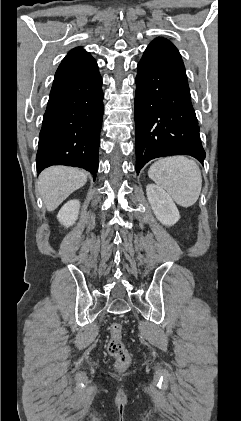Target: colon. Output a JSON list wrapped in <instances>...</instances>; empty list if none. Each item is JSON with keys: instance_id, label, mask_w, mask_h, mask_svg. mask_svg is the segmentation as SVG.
<instances>
[{"instance_id": "1", "label": "colon", "mask_w": 241, "mask_h": 421, "mask_svg": "<svg viewBox=\"0 0 241 421\" xmlns=\"http://www.w3.org/2000/svg\"><path fill=\"white\" fill-rule=\"evenodd\" d=\"M107 351L115 359L118 368L122 369L128 365L130 356L122 341V323L120 321L111 324Z\"/></svg>"}]
</instances>
